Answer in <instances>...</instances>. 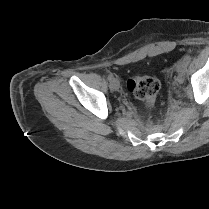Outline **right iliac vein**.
<instances>
[{"label": "right iliac vein", "mask_w": 209, "mask_h": 209, "mask_svg": "<svg viewBox=\"0 0 209 209\" xmlns=\"http://www.w3.org/2000/svg\"><path fill=\"white\" fill-rule=\"evenodd\" d=\"M119 86H120V84H119L118 79H113L112 81H110V89L112 91L118 90L119 89Z\"/></svg>", "instance_id": "obj_1"}]
</instances>
